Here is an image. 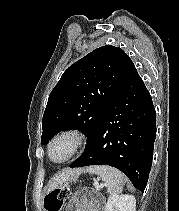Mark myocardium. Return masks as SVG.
Here are the masks:
<instances>
[{"label":"myocardium","instance_id":"1","mask_svg":"<svg viewBox=\"0 0 179 211\" xmlns=\"http://www.w3.org/2000/svg\"><path fill=\"white\" fill-rule=\"evenodd\" d=\"M61 140H69L71 142V149L66 157L61 160H53L51 156L52 147ZM86 142L85 133L77 127H68L56 133L48 142L46 155L48 160L53 164H64L70 161L84 146Z\"/></svg>","mask_w":179,"mask_h":211}]
</instances>
